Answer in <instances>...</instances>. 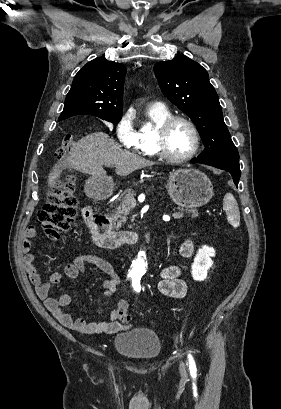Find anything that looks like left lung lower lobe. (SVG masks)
Masks as SVG:
<instances>
[{
	"mask_svg": "<svg viewBox=\"0 0 281 409\" xmlns=\"http://www.w3.org/2000/svg\"><path fill=\"white\" fill-rule=\"evenodd\" d=\"M192 163H202L206 165H211L213 167L226 170L228 171L232 177L233 181L238 185L241 171H240V165L239 161L235 159H213V160H200V159H194Z\"/></svg>",
	"mask_w": 281,
	"mask_h": 409,
	"instance_id": "1",
	"label": "left lung lower lobe"
}]
</instances>
